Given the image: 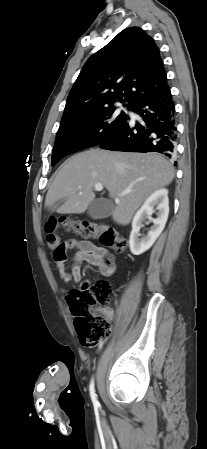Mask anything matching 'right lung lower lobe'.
I'll return each instance as SVG.
<instances>
[{"mask_svg": "<svg viewBox=\"0 0 207 449\" xmlns=\"http://www.w3.org/2000/svg\"><path fill=\"white\" fill-rule=\"evenodd\" d=\"M130 110L139 114L144 123L130 126L126 121L99 146L113 151L158 152L169 158L174 157L177 128L170 89L156 97L141 100Z\"/></svg>", "mask_w": 207, "mask_h": 449, "instance_id": "obj_1", "label": "right lung lower lobe"}]
</instances>
